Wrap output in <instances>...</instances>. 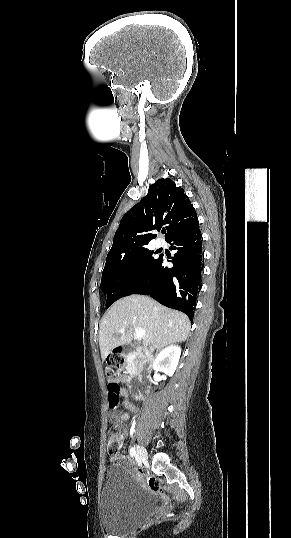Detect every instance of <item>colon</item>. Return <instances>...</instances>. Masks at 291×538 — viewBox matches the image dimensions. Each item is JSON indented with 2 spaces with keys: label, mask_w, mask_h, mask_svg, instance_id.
I'll use <instances>...</instances> for the list:
<instances>
[{
  "label": "colon",
  "mask_w": 291,
  "mask_h": 538,
  "mask_svg": "<svg viewBox=\"0 0 291 538\" xmlns=\"http://www.w3.org/2000/svg\"><path fill=\"white\" fill-rule=\"evenodd\" d=\"M125 364L124 357L119 353H111L107 357V374L109 378L116 377ZM120 386L117 383L108 384V399L109 406L111 409H115L120 401ZM123 442V437L120 434L119 429L116 426H113L109 430L108 436V452L111 456L118 454ZM147 483L150 489L154 492H161V484L157 478L147 477Z\"/></svg>",
  "instance_id": "obj_1"
}]
</instances>
